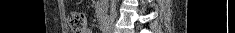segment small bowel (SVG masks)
I'll return each instance as SVG.
<instances>
[{"instance_id": "small-bowel-1", "label": "small bowel", "mask_w": 235, "mask_h": 33, "mask_svg": "<svg viewBox=\"0 0 235 33\" xmlns=\"http://www.w3.org/2000/svg\"><path fill=\"white\" fill-rule=\"evenodd\" d=\"M84 33H91V31L88 29L87 31H85Z\"/></svg>"}]
</instances>
